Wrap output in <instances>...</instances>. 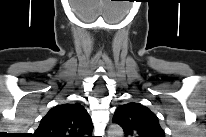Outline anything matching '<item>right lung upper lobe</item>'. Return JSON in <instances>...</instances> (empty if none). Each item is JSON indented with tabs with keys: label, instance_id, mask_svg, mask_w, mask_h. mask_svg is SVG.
<instances>
[{
	"label": "right lung upper lobe",
	"instance_id": "1",
	"mask_svg": "<svg viewBox=\"0 0 206 137\" xmlns=\"http://www.w3.org/2000/svg\"><path fill=\"white\" fill-rule=\"evenodd\" d=\"M93 124L85 108L79 104L53 107L42 118L35 131L38 137H83L91 134Z\"/></svg>",
	"mask_w": 206,
	"mask_h": 137
}]
</instances>
